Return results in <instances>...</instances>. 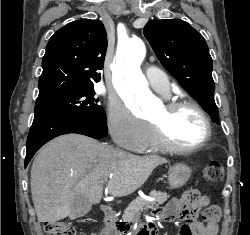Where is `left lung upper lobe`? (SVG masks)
<instances>
[{"instance_id": "obj_1", "label": "left lung upper lobe", "mask_w": 250, "mask_h": 235, "mask_svg": "<svg viewBox=\"0 0 250 235\" xmlns=\"http://www.w3.org/2000/svg\"><path fill=\"white\" fill-rule=\"evenodd\" d=\"M143 32L162 65L211 115L212 121L218 122L212 58L203 36L180 19L150 21Z\"/></svg>"}]
</instances>
